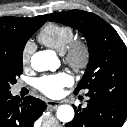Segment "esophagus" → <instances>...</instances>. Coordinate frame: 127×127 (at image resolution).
Returning <instances> with one entry per match:
<instances>
[{"label": "esophagus", "mask_w": 127, "mask_h": 127, "mask_svg": "<svg viewBox=\"0 0 127 127\" xmlns=\"http://www.w3.org/2000/svg\"><path fill=\"white\" fill-rule=\"evenodd\" d=\"M46 104L49 109H56L59 106L60 102L47 100Z\"/></svg>", "instance_id": "esophagus-1"}]
</instances>
